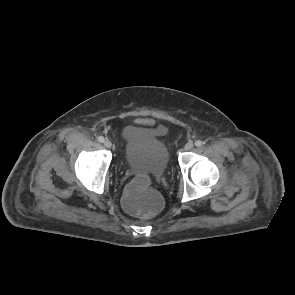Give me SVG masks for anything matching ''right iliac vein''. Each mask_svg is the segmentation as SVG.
Listing matches in <instances>:
<instances>
[{
  "instance_id": "right-iliac-vein-1",
  "label": "right iliac vein",
  "mask_w": 295,
  "mask_h": 295,
  "mask_svg": "<svg viewBox=\"0 0 295 295\" xmlns=\"http://www.w3.org/2000/svg\"><path fill=\"white\" fill-rule=\"evenodd\" d=\"M104 146H105L106 148H111V146H112L111 141L108 140V139H106V140L104 141Z\"/></svg>"
}]
</instances>
